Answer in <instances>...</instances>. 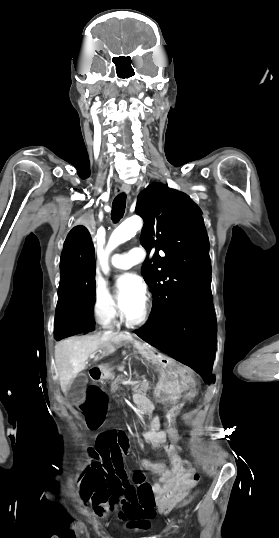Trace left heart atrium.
I'll return each mask as SVG.
<instances>
[{"mask_svg":"<svg viewBox=\"0 0 279 538\" xmlns=\"http://www.w3.org/2000/svg\"><path fill=\"white\" fill-rule=\"evenodd\" d=\"M118 283L120 287V302L123 308L131 303H143L145 286L138 276L131 273L124 274L119 278Z\"/></svg>","mask_w":279,"mask_h":538,"instance_id":"left-heart-atrium-1","label":"left heart atrium"}]
</instances>
